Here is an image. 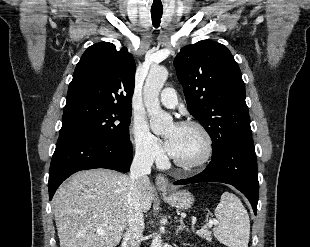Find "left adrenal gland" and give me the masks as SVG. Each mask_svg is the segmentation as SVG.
<instances>
[{
  "instance_id": "1",
  "label": "left adrenal gland",
  "mask_w": 310,
  "mask_h": 247,
  "mask_svg": "<svg viewBox=\"0 0 310 247\" xmlns=\"http://www.w3.org/2000/svg\"><path fill=\"white\" fill-rule=\"evenodd\" d=\"M180 225L177 227L175 234L178 235L180 231L186 230L188 232V228H186L185 224L183 223V219L179 220Z\"/></svg>"
}]
</instances>
